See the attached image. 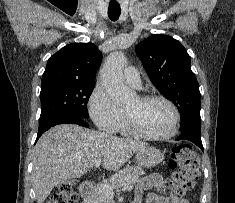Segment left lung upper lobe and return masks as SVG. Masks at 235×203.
Masks as SVG:
<instances>
[{
  "mask_svg": "<svg viewBox=\"0 0 235 203\" xmlns=\"http://www.w3.org/2000/svg\"><path fill=\"white\" fill-rule=\"evenodd\" d=\"M136 53L155 87L181 115V132H201L200 91L190 57L176 39L154 34L136 46Z\"/></svg>",
  "mask_w": 235,
  "mask_h": 203,
  "instance_id": "obj_1",
  "label": "left lung upper lobe"
}]
</instances>
